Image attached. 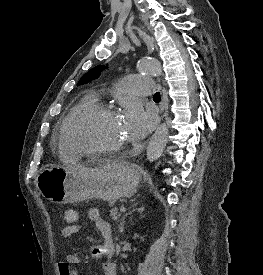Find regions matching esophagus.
<instances>
[{"label": "esophagus", "instance_id": "1", "mask_svg": "<svg viewBox=\"0 0 263 275\" xmlns=\"http://www.w3.org/2000/svg\"><path fill=\"white\" fill-rule=\"evenodd\" d=\"M163 92H164V90H163ZM163 98H164V97H162V105H163ZM161 110L163 111V108H162ZM162 111H161V112H162Z\"/></svg>", "mask_w": 263, "mask_h": 275}]
</instances>
